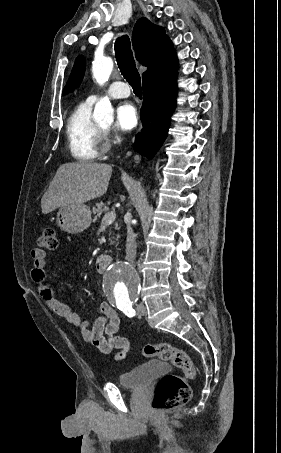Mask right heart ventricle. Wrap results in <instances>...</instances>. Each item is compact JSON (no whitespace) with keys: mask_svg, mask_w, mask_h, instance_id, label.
Returning <instances> with one entry per match:
<instances>
[{"mask_svg":"<svg viewBox=\"0 0 281 453\" xmlns=\"http://www.w3.org/2000/svg\"><path fill=\"white\" fill-rule=\"evenodd\" d=\"M95 102H81L66 122L69 148L73 157L81 161H95L100 152L101 130L92 118Z\"/></svg>","mask_w":281,"mask_h":453,"instance_id":"e07e8e85","label":"right heart ventricle"}]
</instances>
